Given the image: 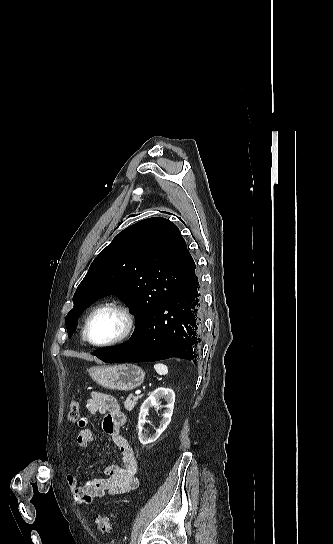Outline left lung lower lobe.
<instances>
[{
    "mask_svg": "<svg viewBox=\"0 0 333 544\" xmlns=\"http://www.w3.org/2000/svg\"><path fill=\"white\" fill-rule=\"evenodd\" d=\"M203 295L197 269L132 337L112 349L94 352L104 362H145L178 357L195 361L203 330Z\"/></svg>",
    "mask_w": 333,
    "mask_h": 544,
    "instance_id": "1",
    "label": "left lung lower lobe"
}]
</instances>
